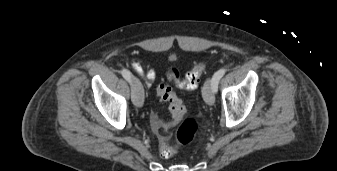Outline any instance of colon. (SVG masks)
<instances>
[{"instance_id":"colon-1","label":"colon","mask_w":337,"mask_h":171,"mask_svg":"<svg viewBox=\"0 0 337 171\" xmlns=\"http://www.w3.org/2000/svg\"><path fill=\"white\" fill-rule=\"evenodd\" d=\"M204 70L205 63L198 62L184 77H181L176 69H169L167 78L169 81L174 82L179 89L192 90L198 86ZM157 93L159 97L168 104L169 111L172 115L171 120H165L162 116H157L153 121V129L159 141L160 155L163 158H169L176 153L178 146L187 145L193 141L198 132L199 124L196 119L186 117V108L182 100L170 86L165 83H160L157 86ZM172 127H176V144L172 143L169 136V130Z\"/></svg>"}]
</instances>
